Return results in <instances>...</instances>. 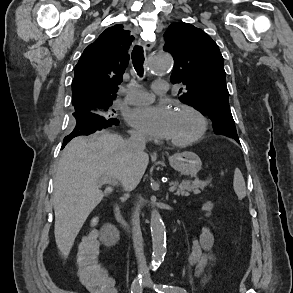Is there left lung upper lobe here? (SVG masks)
I'll use <instances>...</instances> for the list:
<instances>
[{"instance_id":"obj_1","label":"left lung upper lobe","mask_w":293,"mask_h":293,"mask_svg":"<svg viewBox=\"0 0 293 293\" xmlns=\"http://www.w3.org/2000/svg\"><path fill=\"white\" fill-rule=\"evenodd\" d=\"M164 37V50L174 58L171 82L183 85L179 99L206 113L215 133L238 138L218 45L203 30L184 22L171 24Z\"/></svg>"}]
</instances>
